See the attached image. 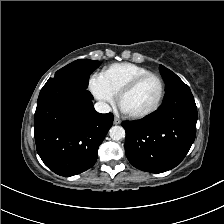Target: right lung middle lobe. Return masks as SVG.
Returning a JSON list of instances; mask_svg holds the SVG:
<instances>
[{
    "label": "right lung middle lobe",
    "mask_w": 224,
    "mask_h": 224,
    "mask_svg": "<svg viewBox=\"0 0 224 224\" xmlns=\"http://www.w3.org/2000/svg\"><path fill=\"white\" fill-rule=\"evenodd\" d=\"M100 62L89 59L76 60L61 68L50 81H63L77 87L87 88L90 74L98 68Z\"/></svg>",
    "instance_id": "1"
}]
</instances>
